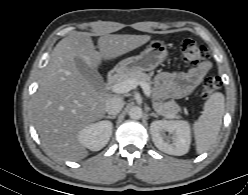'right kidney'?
Here are the masks:
<instances>
[{
	"mask_svg": "<svg viewBox=\"0 0 248 195\" xmlns=\"http://www.w3.org/2000/svg\"><path fill=\"white\" fill-rule=\"evenodd\" d=\"M113 124L110 121H99L83 128L79 142L92 151H99L106 146L112 135Z\"/></svg>",
	"mask_w": 248,
	"mask_h": 195,
	"instance_id": "ca27d5eb",
	"label": "right kidney"
}]
</instances>
